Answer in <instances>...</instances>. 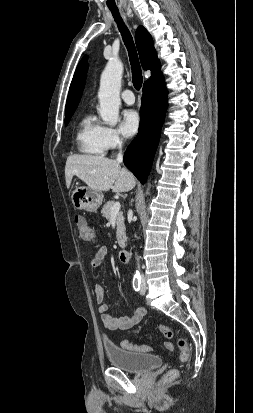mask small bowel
<instances>
[{
	"instance_id": "c3829d8e",
	"label": "small bowel",
	"mask_w": 253,
	"mask_h": 413,
	"mask_svg": "<svg viewBox=\"0 0 253 413\" xmlns=\"http://www.w3.org/2000/svg\"><path fill=\"white\" fill-rule=\"evenodd\" d=\"M107 255V249L101 247L90 262L91 269H97L102 266ZM96 302L99 304V313L103 325L110 330H126L130 329L140 322L145 314L144 308H138L131 316L114 317L109 314L110 304L104 303V289L101 286H96L94 289Z\"/></svg>"
}]
</instances>
